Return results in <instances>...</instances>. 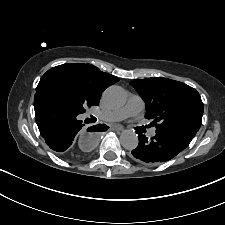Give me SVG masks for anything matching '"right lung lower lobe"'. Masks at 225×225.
<instances>
[{"instance_id":"1","label":"right lung lower lobe","mask_w":225,"mask_h":225,"mask_svg":"<svg viewBox=\"0 0 225 225\" xmlns=\"http://www.w3.org/2000/svg\"><path fill=\"white\" fill-rule=\"evenodd\" d=\"M35 119L41 136L46 144L57 153L68 159H79L81 154L78 153L74 144L77 136L83 130L84 124L78 120V113L66 107L65 105L36 93L34 98ZM108 127L99 124L88 128L89 132L105 131ZM91 143L82 148L84 152L91 150L96 134H87Z\"/></svg>"}]
</instances>
